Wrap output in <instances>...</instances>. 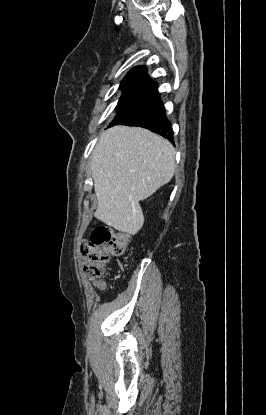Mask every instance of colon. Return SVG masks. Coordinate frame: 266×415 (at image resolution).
Listing matches in <instances>:
<instances>
[{"instance_id": "5ec220e1", "label": "colon", "mask_w": 266, "mask_h": 415, "mask_svg": "<svg viewBox=\"0 0 266 415\" xmlns=\"http://www.w3.org/2000/svg\"><path fill=\"white\" fill-rule=\"evenodd\" d=\"M129 240L130 237L126 233L98 226L93 229L90 238L82 243L84 272L99 287H103L102 280L108 262L125 252Z\"/></svg>"}]
</instances>
